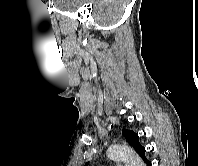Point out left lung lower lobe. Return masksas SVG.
<instances>
[{
	"instance_id": "obj_1",
	"label": "left lung lower lobe",
	"mask_w": 198,
	"mask_h": 166,
	"mask_svg": "<svg viewBox=\"0 0 198 166\" xmlns=\"http://www.w3.org/2000/svg\"><path fill=\"white\" fill-rule=\"evenodd\" d=\"M146 166H151V162L149 160L144 161Z\"/></svg>"
}]
</instances>
